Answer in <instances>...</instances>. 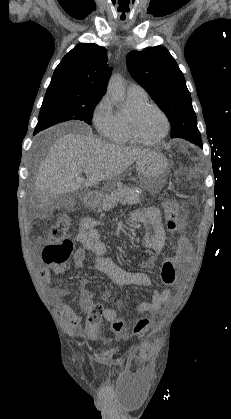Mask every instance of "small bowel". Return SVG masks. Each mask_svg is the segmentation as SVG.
Returning a JSON list of instances; mask_svg holds the SVG:
<instances>
[{
	"label": "small bowel",
	"mask_w": 231,
	"mask_h": 419,
	"mask_svg": "<svg viewBox=\"0 0 231 419\" xmlns=\"http://www.w3.org/2000/svg\"><path fill=\"white\" fill-rule=\"evenodd\" d=\"M131 220L142 224L144 227V247L153 253L159 252L163 248L166 240L160 210L156 207L138 210L131 215ZM98 226L99 221L92 217H83L80 220V230L76 235V240L80 243L81 247L74 253V266L77 268L83 267L86 260V251H90L93 254V266L103 272L116 286L149 287L151 280L146 273L126 271L106 257L107 245L100 235ZM191 250L190 241L182 234L178 240L176 254L174 255L176 265L185 263L191 255ZM154 262L155 256H151L147 261V266L152 267ZM52 269L57 272L62 270L59 267H53ZM41 277L45 283H51L49 269H43L41 271ZM80 287L81 296L78 303L81 309L87 313L85 328H81V317L73 308L62 302L61 297L64 294L62 289L53 290L55 302L61 307L63 314L68 319L70 329L74 334L94 339L99 333L102 316L96 319L91 315V308L95 305L94 294L86 288V282H82ZM103 297L108 299L110 297L109 292L106 291ZM171 299V290H155L151 300L139 304L136 312L141 316L158 315L163 311L164 305L171 302ZM102 315L106 320L111 322L112 317L117 316V313L113 309H105Z\"/></svg>",
	"instance_id": "1"
}]
</instances>
